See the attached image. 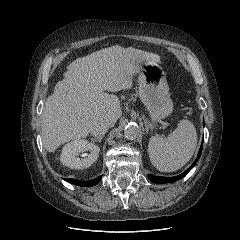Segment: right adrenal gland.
<instances>
[{"instance_id": "1", "label": "right adrenal gland", "mask_w": 240, "mask_h": 240, "mask_svg": "<svg viewBox=\"0 0 240 240\" xmlns=\"http://www.w3.org/2000/svg\"><path fill=\"white\" fill-rule=\"evenodd\" d=\"M103 135H101V136H95L94 138H92V142H96V141H98V142H101L102 141V139H103Z\"/></svg>"}]
</instances>
